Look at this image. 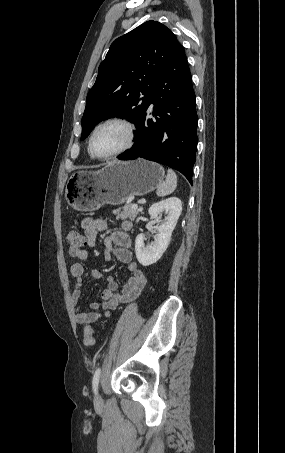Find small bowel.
Segmentation results:
<instances>
[{"label":"small bowel","mask_w":285,"mask_h":453,"mask_svg":"<svg viewBox=\"0 0 285 453\" xmlns=\"http://www.w3.org/2000/svg\"><path fill=\"white\" fill-rule=\"evenodd\" d=\"M80 225L84 231L86 245L88 247H95L98 232L105 230L108 227V222L104 219L86 217L81 221ZM131 227L132 224L130 221L123 220L120 224V230L113 231L104 239L105 250L103 253L106 261H111L115 258L124 263L127 271L131 275L121 290H119L116 279L113 276H108L106 278L107 287L102 292L103 302L101 304L92 303V310L89 312H83L79 306L85 268L80 262L72 264L70 271L76 279V285L72 293L71 302L78 324L89 325L99 320L102 316H109L111 311L115 310L120 304L128 303L138 298L145 288L147 279L138 264L133 260L130 250L132 241L128 231ZM76 258L79 261H84L88 258V252L83 250ZM90 277L92 280H98L102 277V274L97 269H92L90 271Z\"/></svg>","instance_id":"small-bowel-1"}]
</instances>
